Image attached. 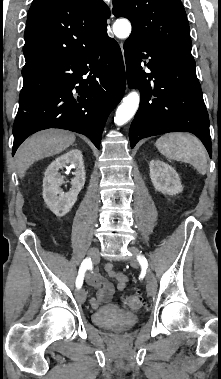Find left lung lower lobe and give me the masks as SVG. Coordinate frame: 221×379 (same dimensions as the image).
Wrapping results in <instances>:
<instances>
[{"mask_svg": "<svg viewBox=\"0 0 221 379\" xmlns=\"http://www.w3.org/2000/svg\"><path fill=\"white\" fill-rule=\"evenodd\" d=\"M124 54L128 85L141 93L129 131L131 148L143 138L182 131L195 134L211 156L209 118L195 61L168 54L135 34L125 41Z\"/></svg>", "mask_w": 221, "mask_h": 379, "instance_id": "0a47b994", "label": "left lung lower lobe"}]
</instances>
